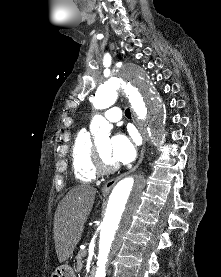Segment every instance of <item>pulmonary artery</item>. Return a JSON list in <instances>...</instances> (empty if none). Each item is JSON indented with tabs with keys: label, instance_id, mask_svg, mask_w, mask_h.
Segmentation results:
<instances>
[{
	"label": "pulmonary artery",
	"instance_id": "e3ab8cb5",
	"mask_svg": "<svg viewBox=\"0 0 221 277\" xmlns=\"http://www.w3.org/2000/svg\"><path fill=\"white\" fill-rule=\"evenodd\" d=\"M104 116L110 122H118L122 119V111L118 107H112L105 111Z\"/></svg>",
	"mask_w": 221,
	"mask_h": 277
}]
</instances>
